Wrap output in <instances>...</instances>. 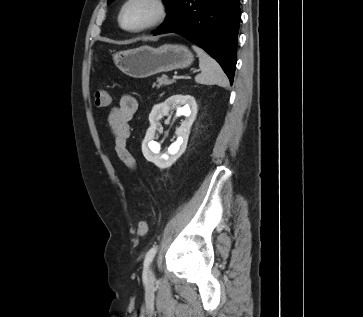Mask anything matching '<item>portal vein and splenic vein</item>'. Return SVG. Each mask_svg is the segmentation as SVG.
Here are the masks:
<instances>
[{"label": "portal vein and splenic vein", "mask_w": 363, "mask_h": 317, "mask_svg": "<svg viewBox=\"0 0 363 317\" xmlns=\"http://www.w3.org/2000/svg\"><path fill=\"white\" fill-rule=\"evenodd\" d=\"M177 78H178V76H176V75H174V76H173V79H174V80H175V79H177Z\"/></svg>", "instance_id": "1"}]
</instances>
